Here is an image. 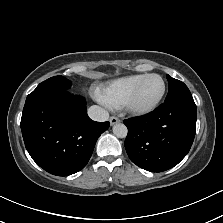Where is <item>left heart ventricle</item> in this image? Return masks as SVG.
I'll return each instance as SVG.
<instances>
[{"instance_id":"left-heart-ventricle-1","label":"left heart ventricle","mask_w":223,"mask_h":223,"mask_svg":"<svg viewBox=\"0 0 223 223\" xmlns=\"http://www.w3.org/2000/svg\"><path fill=\"white\" fill-rule=\"evenodd\" d=\"M162 89L161 80L156 77L146 78L139 87L136 97L133 101L134 106L143 108L151 105Z\"/></svg>"}]
</instances>
